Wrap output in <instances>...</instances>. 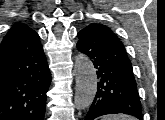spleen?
I'll return each instance as SVG.
<instances>
[{
  "label": "spleen",
  "instance_id": "1",
  "mask_svg": "<svg viewBox=\"0 0 165 120\" xmlns=\"http://www.w3.org/2000/svg\"><path fill=\"white\" fill-rule=\"evenodd\" d=\"M101 120H136V119L129 115L118 114V115H105L102 117Z\"/></svg>",
  "mask_w": 165,
  "mask_h": 120
}]
</instances>
